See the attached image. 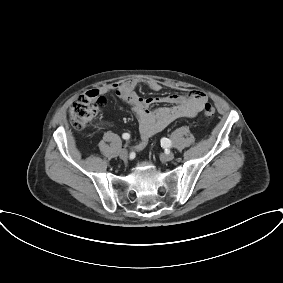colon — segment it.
<instances>
[{
  "mask_svg": "<svg viewBox=\"0 0 283 283\" xmlns=\"http://www.w3.org/2000/svg\"><path fill=\"white\" fill-rule=\"evenodd\" d=\"M106 99L100 94L90 91L80 95L70 108V121L77 129L86 127L101 112ZM204 115L211 118L215 114V108L210 103L204 105Z\"/></svg>",
  "mask_w": 283,
  "mask_h": 283,
  "instance_id": "5ec220e1",
  "label": "colon"
}]
</instances>
